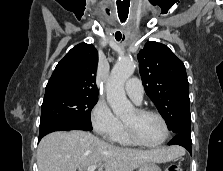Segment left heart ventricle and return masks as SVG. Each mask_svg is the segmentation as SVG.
<instances>
[{
    "instance_id": "left-heart-ventricle-1",
    "label": "left heart ventricle",
    "mask_w": 223,
    "mask_h": 171,
    "mask_svg": "<svg viewBox=\"0 0 223 171\" xmlns=\"http://www.w3.org/2000/svg\"><path fill=\"white\" fill-rule=\"evenodd\" d=\"M123 122L146 144H156L164 136L163 125L154 115H139L133 109L123 118Z\"/></svg>"
}]
</instances>
